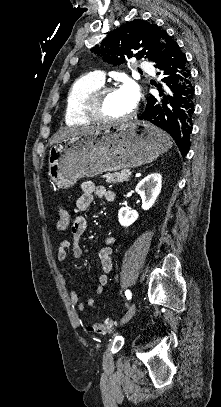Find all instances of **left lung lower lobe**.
Returning a JSON list of instances; mask_svg holds the SVG:
<instances>
[{
  "mask_svg": "<svg viewBox=\"0 0 221 407\" xmlns=\"http://www.w3.org/2000/svg\"><path fill=\"white\" fill-rule=\"evenodd\" d=\"M166 84L158 86L160 99L150 95L139 119L147 120L168 132L183 156L189 151L194 113V87L187 59L180 46L171 40L162 59L155 65ZM160 74V72H158Z\"/></svg>",
  "mask_w": 221,
  "mask_h": 407,
  "instance_id": "left-lung-lower-lobe-1",
  "label": "left lung lower lobe"
}]
</instances>
